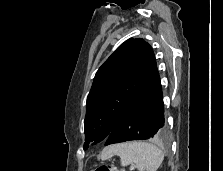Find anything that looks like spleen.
I'll list each match as a JSON object with an SVG mask.
<instances>
[{"label":"spleen","instance_id":"spleen-1","mask_svg":"<svg viewBox=\"0 0 223 171\" xmlns=\"http://www.w3.org/2000/svg\"><path fill=\"white\" fill-rule=\"evenodd\" d=\"M115 153L119 155L122 166L135 164L139 171H157L164 159L160 148L140 141L117 145Z\"/></svg>","mask_w":223,"mask_h":171}]
</instances>
